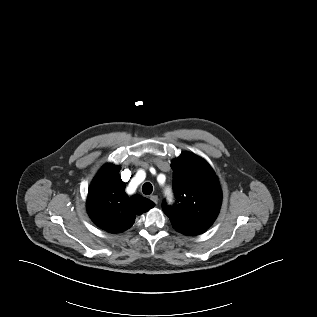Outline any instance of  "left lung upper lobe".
<instances>
[{"instance_id":"1","label":"left lung upper lobe","mask_w":317,"mask_h":317,"mask_svg":"<svg viewBox=\"0 0 317 317\" xmlns=\"http://www.w3.org/2000/svg\"><path fill=\"white\" fill-rule=\"evenodd\" d=\"M174 205L163 202V211L173 227L207 230L216 219L222 193L211 166L193 153H183L172 161Z\"/></svg>"}]
</instances>
